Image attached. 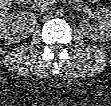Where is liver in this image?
<instances>
[{
	"label": "liver",
	"instance_id": "1",
	"mask_svg": "<svg viewBox=\"0 0 111 106\" xmlns=\"http://www.w3.org/2000/svg\"><path fill=\"white\" fill-rule=\"evenodd\" d=\"M11 6H12L11 0H1L0 1L1 15L6 14V12L11 8Z\"/></svg>",
	"mask_w": 111,
	"mask_h": 106
}]
</instances>
